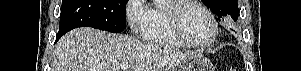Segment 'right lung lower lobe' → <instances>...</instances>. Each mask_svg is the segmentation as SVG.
I'll return each instance as SVG.
<instances>
[{
	"label": "right lung lower lobe",
	"mask_w": 301,
	"mask_h": 71,
	"mask_svg": "<svg viewBox=\"0 0 301 71\" xmlns=\"http://www.w3.org/2000/svg\"><path fill=\"white\" fill-rule=\"evenodd\" d=\"M62 35H63V34L58 33V36H57V38H56V41H57Z\"/></svg>",
	"instance_id": "98d812e1"
}]
</instances>
